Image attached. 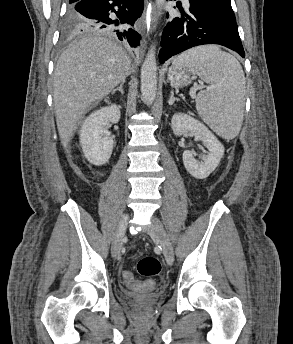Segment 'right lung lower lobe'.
Returning <instances> with one entry per match:
<instances>
[{"label": "right lung lower lobe", "instance_id": "1", "mask_svg": "<svg viewBox=\"0 0 293 344\" xmlns=\"http://www.w3.org/2000/svg\"><path fill=\"white\" fill-rule=\"evenodd\" d=\"M143 6V0H78L70 9L89 21L87 29H102V32L136 47L141 36L122 24L133 26L141 16Z\"/></svg>", "mask_w": 293, "mask_h": 344}]
</instances>
